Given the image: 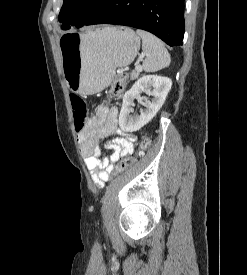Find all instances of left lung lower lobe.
<instances>
[{
  "label": "left lung lower lobe",
  "mask_w": 247,
  "mask_h": 275,
  "mask_svg": "<svg viewBox=\"0 0 247 275\" xmlns=\"http://www.w3.org/2000/svg\"><path fill=\"white\" fill-rule=\"evenodd\" d=\"M93 24L143 29L170 46H180L185 27L184 0H107L84 25Z\"/></svg>",
  "instance_id": "1"
}]
</instances>
